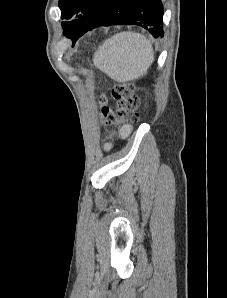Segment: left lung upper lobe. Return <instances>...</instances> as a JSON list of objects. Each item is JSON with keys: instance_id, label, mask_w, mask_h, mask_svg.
Listing matches in <instances>:
<instances>
[{"instance_id": "left-lung-upper-lobe-1", "label": "left lung upper lobe", "mask_w": 227, "mask_h": 298, "mask_svg": "<svg viewBox=\"0 0 227 298\" xmlns=\"http://www.w3.org/2000/svg\"><path fill=\"white\" fill-rule=\"evenodd\" d=\"M107 0H59L61 18L70 19L63 22L64 33L77 41L84 33L92 30L101 15ZM77 18H73L76 17Z\"/></svg>"}]
</instances>
